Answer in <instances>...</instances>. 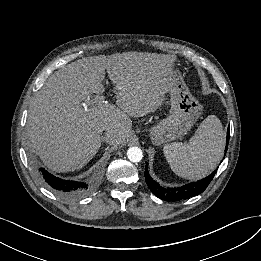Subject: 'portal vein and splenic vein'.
I'll use <instances>...</instances> for the list:
<instances>
[{
    "instance_id": "obj_1",
    "label": "portal vein and splenic vein",
    "mask_w": 261,
    "mask_h": 261,
    "mask_svg": "<svg viewBox=\"0 0 261 261\" xmlns=\"http://www.w3.org/2000/svg\"><path fill=\"white\" fill-rule=\"evenodd\" d=\"M104 97L103 96H96L94 99H88V104L91 106H94L95 104L104 103Z\"/></svg>"
}]
</instances>
